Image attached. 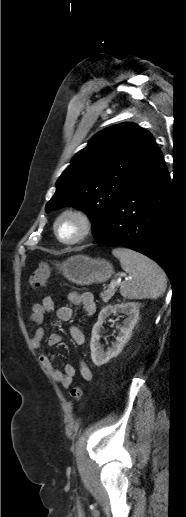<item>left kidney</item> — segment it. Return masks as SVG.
I'll list each match as a JSON object with an SVG mask.
<instances>
[{
    "instance_id": "left-kidney-1",
    "label": "left kidney",
    "mask_w": 186,
    "mask_h": 517,
    "mask_svg": "<svg viewBox=\"0 0 186 517\" xmlns=\"http://www.w3.org/2000/svg\"><path fill=\"white\" fill-rule=\"evenodd\" d=\"M140 305L141 304L136 302H126L116 304L114 306L108 305L100 311L98 321L92 328L90 341L91 359L96 366H101L107 363L111 358L116 357L122 351L123 347L130 339L132 330L139 319ZM112 313H123L128 317L123 321V326H117L120 332L116 337V341L112 343V347L108 348L105 352L99 342L101 337L100 334L103 322Z\"/></svg>"
}]
</instances>
